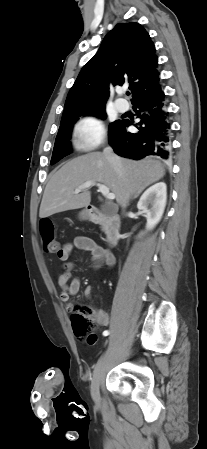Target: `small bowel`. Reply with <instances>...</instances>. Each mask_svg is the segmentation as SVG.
Listing matches in <instances>:
<instances>
[{
	"instance_id": "c3829d8e",
	"label": "small bowel",
	"mask_w": 207,
	"mask_h": 449,
	"mask_svg": "<svg viewBox=\"0 0 207 449\" xmlns=\"http://www.w3.org/2000/svg\"><path fill=\"white\" fill-rule=\"evenodd\" d=\"M74 250L89 251L92 255L94 269H98L104 264L113 266L115 263L114 257L107 249L85 236H79L72 242L64 244L58 251V257L63 261H67ZM74 267L75 264L73 262H66L62 267L63 271L58 274L56 279V284L60 289V299L65 303L68 311L73 310V304L69 302L70 297L75 296L80 289V280L78 278L71 279ZM84 295L90 299V287L85 288ZM94 319L103 326H107L110 323L109 314L96 307H94Z\"/></svg>"
}]
</instances>
